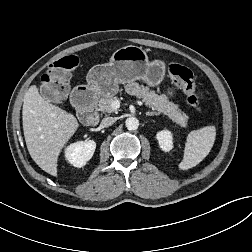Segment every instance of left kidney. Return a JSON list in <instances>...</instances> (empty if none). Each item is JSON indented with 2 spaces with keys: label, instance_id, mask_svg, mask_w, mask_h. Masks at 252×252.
Returning <instances> with one entry per match:
<instances>
[{
  "label": "left kidney",
  "instance_id": "obj_1",
  "mask_svg": "<svg viewBox=\"0 0 252 252\" xmlns=\"http://www.w3.org/2000/svg\"><path fill=\"white\" fill-rule=\"evenodd\" d=\"M156 138L163 151L169 152L173 148V137L170 131L162 130L157 133Z\"/></svg>",
  "mask_w": 252,
  "mask_h": 252
}]
</instances>
